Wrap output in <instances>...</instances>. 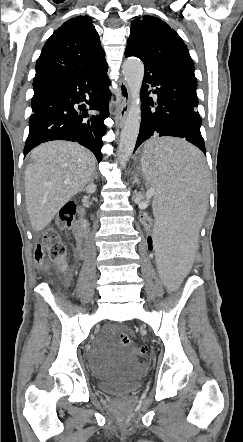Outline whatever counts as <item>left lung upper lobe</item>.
<instances>
[{"instance_id":"obj_1","label":"left lung upper lobe","mask_w":243,"mask_h":442,"mask_svg":"<svg viewBox=\"0 0 243 442\" xmlns=\"http://www.w3.org/2000/svg\"><path fill=\"white\" fill-rule=\"evenodd\" d=\"M126 50L139 58L194 70L187 46L168 24L153 16H142L131 23Z\"/></svg>"}]
</instances>
